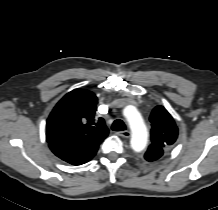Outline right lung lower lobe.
<instances>
[{
	"instance_id": "right-lung-lower-lobe-1",
	"label": "right lung lower lobe",
	"mask_w": 218,
	"mask_h": 210,
	"mask_svg": "<svg viewBox=\"0 0 218 210\" xmlns=\"http://www.w3.org/2000/svg\"><path fill=\"white\" fill-rule=\"evenodd\" d=\"M49 147L56 156L72 165H81L90 161L98 150L82 151L57 144H49Z\"/></svg>"
}]
</instances>
